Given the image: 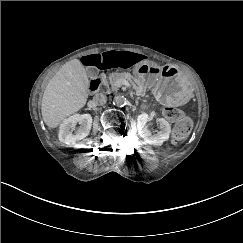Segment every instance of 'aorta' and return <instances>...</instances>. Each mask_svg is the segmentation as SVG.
<instances>
[{
    "instance_id": "obj_1",
    "label": "aorta",
    "mask_w": 243,
    "mask_h": 243,
    "mask_svg": "<svg viewBox=\"0 0 243 243\" xmlns=\"http://www.w3.org/2000/svg\"><path fill=\"white\" fill-rule=\"evenodd\" d=\"M113 103L116 107L118 108H123L127 104V99L124 95L122 94H117L113 98Z\"/></svg>"
}]
</instances>
